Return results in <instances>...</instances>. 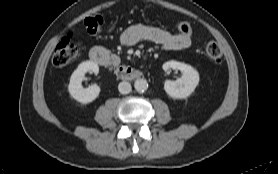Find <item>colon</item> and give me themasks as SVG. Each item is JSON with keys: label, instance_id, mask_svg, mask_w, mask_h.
<instances>
[{"label": "colon", "instance_id": "colon-1", "mask_svg": "<svg viewBox=\"0 0 278 174\" xmlns=\"http://www.w3.org/2000/svg\"><path fill=\"white\" fill-rule=\"evenodd\" d=\"M84 24L88 32L95 33L104 24V18L101 15L87 17L84 20ZM178 30L183 35L190 36L192 34V27L187 22H181L178 25ZM205 52L207 57L214 63L221 62L222 50L216 42H208L205 47ZM78 54L79 43L73 40L72 35H69L64 37L56 46L52 56V62L57 67H63L74 60Z\"/></svg>", "mask_w": 278, "mask_h": 174}]
</instances>
